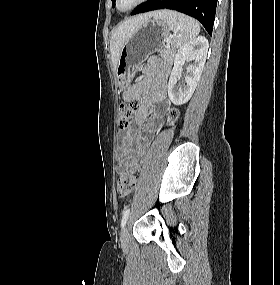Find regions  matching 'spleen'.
I'll return each mask as SVG.
<instances>
[{
  "label": "spleen",
  "instance_id": "obj_1",
  "mask_svg": "<svg viewBox=\"0 0 280 285\" xmlns=\"http://www.w3.org/2000/svg\"><path fill=\"white\" fill-rule=\"evenodd\" d=\"M156 19H161L173 31L172 47H182L195 39L200 32V26L196 20L181 13L169 10L158 11Z\"/></svg>",
  "mask_w": 280,
  "mask_h": 285
}]
</instances>
